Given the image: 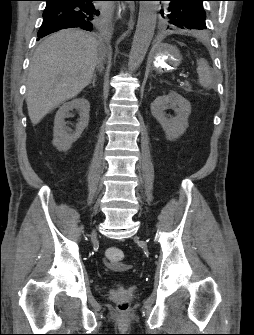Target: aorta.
Masks as SVG:
<instances>
[{"instance_id":"obj_1","label":"aorta","mask_w":254,"mask_h":335,"mask_svg":"<svg viewBox=\"0 0 254 335\" xmlns=\"http://www.w3.org/2000/svg\"><path fill=\"white\" fill-rule=\"evenodd\" d=\"M157 5L156 1L140 2L136 31L129 54L128 64L130 71L138 69L145 58L154 35Z\"/></svg>"}]
</instances>
